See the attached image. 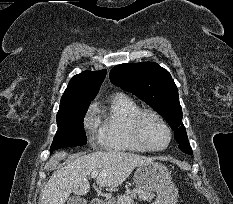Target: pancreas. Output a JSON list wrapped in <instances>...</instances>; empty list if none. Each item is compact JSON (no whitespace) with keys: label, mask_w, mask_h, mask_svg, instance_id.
<instances>
[{"label":"pancreas","mask_w":233,"mask_h":204,"mask_svg":"<svg viewBox=\"0 0 233 204\" xmlns=\"http://www.w3.org/2000/svg\"><path fill=\"white\" fill-rule=\"evenodd\" d=\"M154 194L142 188H135L127 190L123 195H120L116 202H109L107 204H134V199L151 201Z\"/></svg>","instance_id":"1"}]
</instances>
